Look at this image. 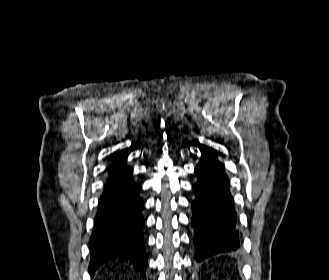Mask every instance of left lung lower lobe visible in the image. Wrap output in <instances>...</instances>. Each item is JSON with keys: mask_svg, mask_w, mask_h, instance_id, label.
<instances>
[{"mask_svg": "<svg viewBox=\"0 0 329 280\" xmlns=\"http://www.w3.org/2000/svg\"><path fill=\"white\" fill-rule=\"evenodd\" d=\"M202 158L195 173L193 185L196 198L192 203L195 259H203L239 247L237 218L229 181L222 164L211 148H202Z\"/></svg>", "mask_w": 329, "mask_h": 280, "instance_id": "obj_1", "label": "left lung lower lobe"}]
</instances>
